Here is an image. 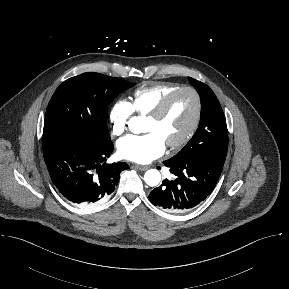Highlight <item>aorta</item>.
<instances>
[{"label":"aorta","instance_id":"762f6f07","mask_svg":"<svg viewBox=\"0 0 289 289\" xmlns=\"http://www.w3.org/2000/svg\"><path fill=\"white\" fill-rule=\"evenodd\" d=\"M144 181L148 186H157L161 181V174L156 169H150L146 171Z\"/></svg>","mask_w":289,"mask_h":289}]
</instances>
